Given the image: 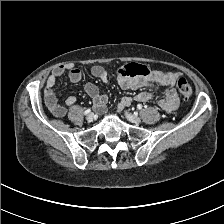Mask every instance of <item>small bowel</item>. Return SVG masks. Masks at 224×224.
I'll list each match as a JSON object with an SVG mask.
<instances>
[{"label":"small bowel","mask_w":224,"mask_h":224,"mask_svg":"<svg viewBox=\"0 0 224 224\" xmlns=\"http://www.w3.org/2000/svg\"><path fill=\"white\" fill-rule=\"evenodd\" d=\"M66 71H68V77L72 83H78L82 79L81 71L72 66H59L49 75L44 89L45 104L51 114L55 117H63L66 114L65 107L57 102L56 95L53 91V87L56 84L57 79ZM91 74L104 83L108 82V72L100 65L93 66L91 68ZM178 77L179 74L175 72L151 71V73L147 76L134 78L120 74L117 81L118 85L124 90L151 88L155 85L164 87V97L158 101V106L163 111L171 113L177 109L179 104L178 94L175 90V84ZM84 90L93 100L96 112L99 114L104 113L107 103V96L102 94L99 88L91 82H87L84 85ZM152 96L153 94L150 90H143L133 97H123L119 103L118 109L121 110L129 106L134 101L148 102L151 100ZM75 102L76 98L74 96H69L66 99V104L68 106L74 105Z\"/></svg>","instance_id":"c3829d8e"}]
</instances>
